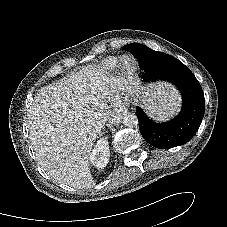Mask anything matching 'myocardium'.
I'll return each instance as SVG.
<instances>
[{
	"label": "myocardium",
	"instance_id": "obj_1",
	"mask_svg": "<svg viewBox=\"0 0 227 227\" xmlns=\"http://www.w3.org/2000/svg\"><path fill=\"white\" fill-rule=\"evenodd\" d=\"M120 71L126 76H133L137 69V60L130 55L123 56L120 60Z\"/></svg>",
	"mask_w": 227,
	"mask_h": 227
}]
</instances>
